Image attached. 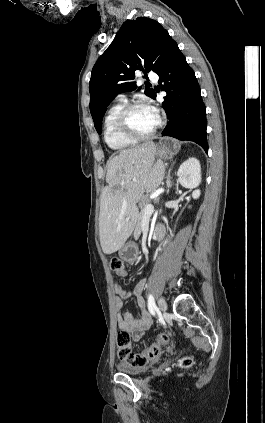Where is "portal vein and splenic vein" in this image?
Masks as SVG:
<instances>
[{"label": "portal vein and splenic vein", "mask_w": 265, "mask_h": 423, "mask_svg": "<svg viewBox=\"0 0 265 423\" xmlns=\"http://www.w3.org/2000/svg\"><path fill=\"white\" fill-rule=\"evenodd\" d=\"M154 212V206L152 204H148L145 207V217H149Z\"/></svg>", "instance_id": "portal-vein-and-splenic-vein-1"}]
</instances>
